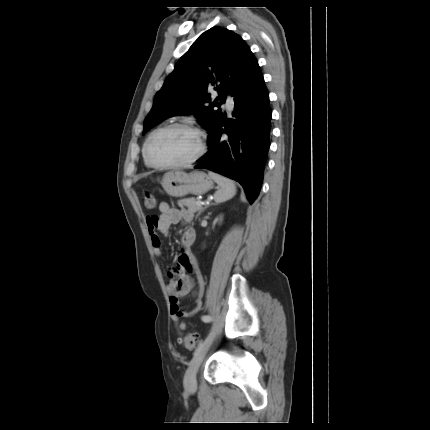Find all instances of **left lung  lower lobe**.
<instances>
[{
  "label": "left lung lower lobe",
  "instance_id": "1",
  "mask_svg": "<svg viewBox=\"0 0 430 430\" xmlns=\"http://www.w3.org/2000/svg\"><path fill=\"white\" fill-rule=\"evenodd\" d=\"M233 119L219 115L209 126V151L195 168L238 181L252 204L258 197L270 146L272 111L260 68L233 94ZM223 118V119H222Z\"/></svg>",
  "mask_w": 430,
  "mask_h": 430
}]
</instances>
